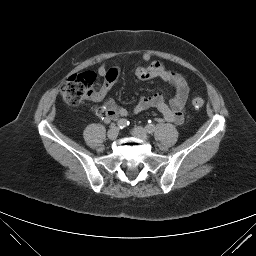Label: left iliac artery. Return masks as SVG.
I'll return each instance as SVG.
<instances>
[{
    "label": "left iliac artery",
    "mask_w": 256,
    "mask_h": 256,
    "mask_svg": "<svg viewBox=\"0 0 256 256\" xmlns=\"http://www.w3.org/2000/svg\"><path fill=\"white\" fill-rule=\"evenodd\" d=\"M146 131L149 133V134H152L154 131H155V125L152 124V125H149L147 124L146 127H145Z\"/></svg>",
    "instance_id": "44dca946"
}]
</instances>
